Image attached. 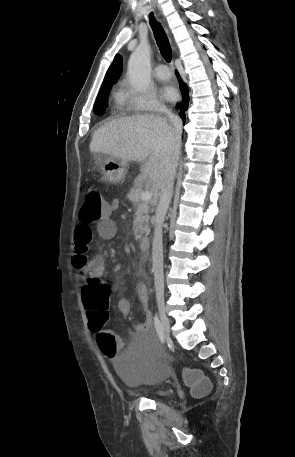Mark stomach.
Segmentation results:
<instances>
[{
  "mask_svg": "<svg viewBox=\"0 0 295 457\" xmlns=\"http://www.w3.org/2000/svg\"><path fill=\"white\" fill-rule=\"evenodd\" d=\"M97 157L102 161L100 169L104 179L112 184H118L125 179L127 173V162L112 156L98 154Z\"/></svg>",
  "mask_w": 295,
  "mask_h": 457,
  "instance_id": "0dacf381",
  "label": "stomach"
}]
</instances>
